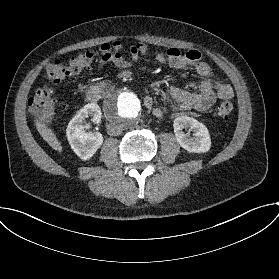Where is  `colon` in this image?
Returning a JSON list of instances; mask_svg holds the SVG:
<instances>
[{"label": "colon", "instance_id": "colon-1", "mask_svg": "<svg viewBox=\"0 0 279 279\" xmlns=\"http://www.w3.org/2000/svg\"><path fill=\"white\" fill-rule=\"evenodd\" d=\"M93 60L90 53H79L71 56L66 63L50 62L45 73L48 80L53 84H60L67 77L75 76L84 72ZM54 90L47 86L40 88L28 102L29 112L37 119L48 122L52 119L55 111ZM233 112V104L230 100H221L217 106V115L220 120H227Z\"/></svg>", "mask_w": 279, "mask_h": 279}]
</instances>
